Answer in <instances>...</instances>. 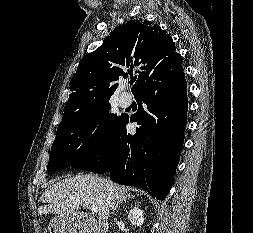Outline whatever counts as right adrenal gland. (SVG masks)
Masks as SVG:
<instances>
[{"label": "right adrenal gland", "instance_id": "obj_1", "mask_svg": "<svg viewBox=\"0 0 253 233\" xmlns=\"http://www.w3.org/2000/svg\"><path fill=\"white\" fill-rule=\"evenodd\" d=\"M133 197H134V196L128 195L127 198L130 199V198H133ZM123 201H126V199L123 198V199H121L120 201H118V202L116 203V205H115L114 208L112 209V214L115 213V211L118 209V206H119Z\"/></svg>", "mask_w": 253, "mask_h": 233}]
</instances>
